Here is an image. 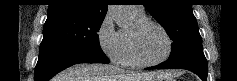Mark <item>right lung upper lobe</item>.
<instances>
[{
  "label": "right lung upper lobe",
  "instance_id": "1",
  "mask_svg": "<svg viewBox=\"0 0 237 81\" xmlns=\"http://www.w3.org/2000/svg\"><path fill=\"white\" fill-rule=\"evenodd\" d=\"M108 0H52L47 19L59 16H88L104 18Z\"/></svg>",
  "mask_w": 237,
  "mask_h": 81
}]
</instances>
